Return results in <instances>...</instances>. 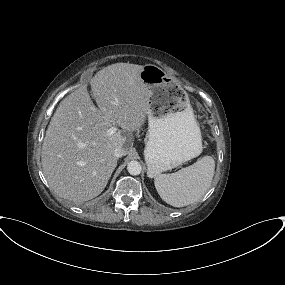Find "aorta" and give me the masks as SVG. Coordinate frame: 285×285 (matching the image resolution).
I'll return each mask as SVG.
<instances>
[{"label":"aorta","instance_id":"aorta-1","mask_svg":"<svg viewBox=\"0 0 285 285\" xmlns=\"http://www.w3.org/2000/svg\"><path fill=\"white\" fill-rule=\"evenodd\" d=\"M127 170L131 175H139L142 171V166L138 161L132 160L128 163Z\"/></svg>","mask_w":285,"mask_h":285}]
</instances>
